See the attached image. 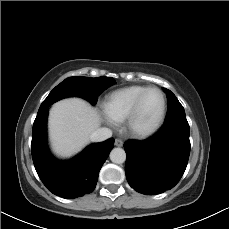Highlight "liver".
Wrapping results in <instances>:
<instances>
[{
	"label": "liver",
	"mask_w": 229,
	"mask_h": 229,
	"mask_svg": "<svg viewBox=\"0 0 229 229\" xmlns=\"http://www.w3.org/2000/svg\"><path fill=\"white\" fill-rule=\"evenodd\" d=\"M100 123L98 111L80 98L55 103L50 110L48 123L53 151L62 157L79 152Z\"/></svg>",
	"instance_id": "1"
}]
</instances>
